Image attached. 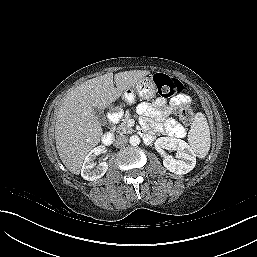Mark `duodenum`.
I'll use <instances>...</instances> for the list:
<instances>
[{"label": "duodenum", "instance_id": "duodenum-1", "mask_svg": "<svg viewBox=\"0 0 257 257\" xmlns=\"http://www.w3.org/2000/svg\"><path fill=\"white\" fill-rule=\"evenodd\" d=\"M117 122H118V115H117V112H116V113L109 116V124L110 125H115ZM114 137H115L114 132L109 131V132H107L103 135L102 143L104 145H110L114 141Z\"/></svg>", "mask_w": 257, "mask_h": 257}]
</instances>
